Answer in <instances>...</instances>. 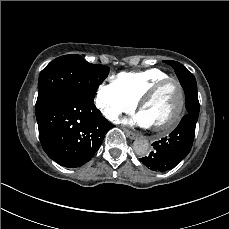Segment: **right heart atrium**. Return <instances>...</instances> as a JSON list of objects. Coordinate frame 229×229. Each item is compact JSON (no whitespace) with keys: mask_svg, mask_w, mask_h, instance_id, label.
I'll return each instance as SVG.
<instances>
[{"mask_svg":"<svg viewBox=\"0 0 229 229\" xmlns=\"http://www.w3.org/2000/svg\"><path fill=\"white\" fill-rule=\"evenodd\" d=\"M95 105L109 121L115 122L122 113H130L137 107V102L131 99L122 88L112 80L102 83L96 92Z\"/></svg>","mask_w":229,"mask_h":229,"instance_id":"right-heart-atrium-1","label":"right heart atrium"}]
</instances>
